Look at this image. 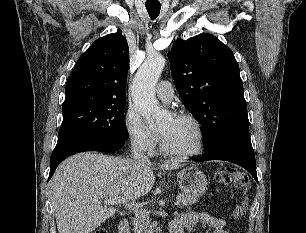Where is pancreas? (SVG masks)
Returning a JSON list of instances; mask_svg holds the SVG:
<instances>
[{
    "label": "pancreas",
    "mask_w": 306,
    "mask_h": 233,
    "mask_svg": "<svg viewBox=\"0 0 306 233\" xmlns=\"http://www.w3.org/2000/svg\"><path fill=\"white\" fill-rule=\"evenodd\" d=\"M177 199L180 200V208H185L186 206H191L197 202V199L188 195L178 194ZM139 227L138 223H135V233H144Z\"/></svg>",
    "instance_id": "pancreas-1"
}]
</instances>
